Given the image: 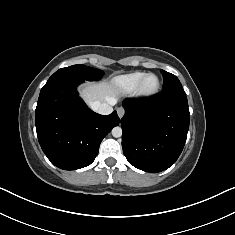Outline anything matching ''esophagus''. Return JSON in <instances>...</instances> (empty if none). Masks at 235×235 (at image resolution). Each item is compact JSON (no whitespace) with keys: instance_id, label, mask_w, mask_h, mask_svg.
I'll use <instances>...</instances> for the list:
<instances>
[{"instance_id":"34e87169","label":"esophagus","mask_w":235,"mask_h":235,"mask_svg":"<svg viewBox=\"0 0 235 235\" xmlns=\"http://www.w3.org/2000/svg\"><path fill=\"white\" fill-rule=\"evenodd\" d=\"M124 113H125L124 108L119 107V108L117 109V114H118L119 118H122V117L124 116Z\"/></svg>"}]
</instances>
